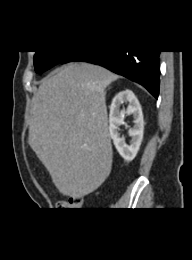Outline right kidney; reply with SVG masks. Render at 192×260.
<instances>
[{"instance_id": "1", "label": "right kidney", "mask_w": 192, "mask_h": 260, "mask_svg": "<svg viewBox=\"0 0 192 260\" xmlns=\"http://www.w3.org/2000/svg\"><path fill=\"white\" fill-rule=\"evenodd\" d=\"M128 104L127 110H120L121 105ZM126 114L133 115L134 126L129 129V136L132 138L130 145H127L125 138L119 133V126L124 122ZM144 121L140 103L134 93L125 90L118 93L112 100L109 114V133L113 143L125 161H132L141 145L143 139Z\"/></svg>"}]
</instances>
